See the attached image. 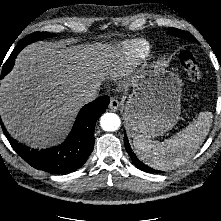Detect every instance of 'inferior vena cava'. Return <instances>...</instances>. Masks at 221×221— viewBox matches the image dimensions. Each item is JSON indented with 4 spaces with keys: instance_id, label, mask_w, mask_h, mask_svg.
Returning a JSON list of instances; mask_svg holds the SVG:
<instances>
[{
    "instance_id": "602c4592",
    "label": "inferior vena cava",
    "mask_w": 221,
    "mask_h": 221,
    "mask_svg": "<svg viewBox=\"0 0 221 221\" xmlns=\"http://www.w3.org/2000/svg\"><path fill=\"white\" fill-rule=\"evenodd\" d=\"M98 90L99 88L95 86L84 89L77 95V99L82 104L92 102L98 97Z\"/></svg>"
}]
</instances>
